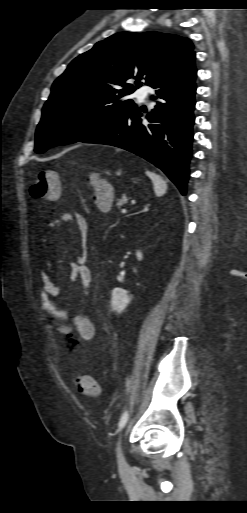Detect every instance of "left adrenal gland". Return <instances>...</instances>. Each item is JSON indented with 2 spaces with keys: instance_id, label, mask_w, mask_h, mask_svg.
<instances>
[{
  "instance_id": "a2214340",
  "label": "left adrenal gland",
  "mask_w": 247,
  "mask_h": 513,
  "mask_svg": "<svg viewBox=\"0 0 247 513\" xmlns=\"http://www.w3.org/2000/svg\"><path fill=\"white\" fill-rule=\"evenodd\" d=\"M149 206H150V204H146V205L144 206V208L142 209V211H140V212H146V211H148V210H149V209H148V208H149Z\"/></svg>"
}]
</instances>
